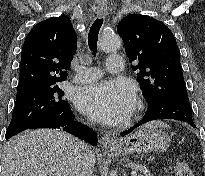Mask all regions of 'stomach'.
<instances>
[{"label": "stomach", "mask_w": 205, "mask_h": 176, "mask_svg": "<svg viewBox=\"0 0 205 176\" xmlns=\"http://www.w3.org/2000/svg\"><path fill=\"white\" fill-rule=\"evenodd\" d=\"M157 123L146 124L138 131L120 139L109 152L115 155H128L132 153L163 152L170 144V136L163 132Z\"/></svg>", "instance_id": "0dacf381"}]
</instances>
